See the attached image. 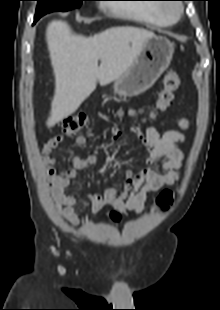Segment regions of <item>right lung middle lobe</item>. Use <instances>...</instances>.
<instances>
[{"label": "right lung middle lobe", "instance_id": "right-lung-middle-lobe-1", "mask_svg": "<svg viewBox=\"0 0 220 310\" xmlns=\"http://www.w3.org/2000/svg\"><path fill=\"white\" fill-rule=\"evenodd\" d=\"M36 17L53 11H68L73 8H78L82 1L86 0H37Z\"/></svg>", "mask_w": 220, "mask_h": 310}]
</instances>
